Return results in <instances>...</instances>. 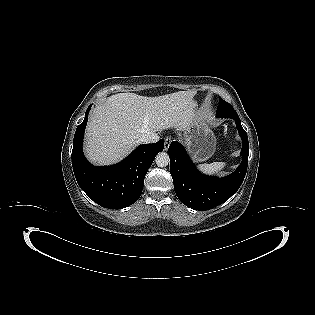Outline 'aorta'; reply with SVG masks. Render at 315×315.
<instances>
[{"instance_id": "1", "label": "aorta", "mask_w": 315, "mask_h": 315, "mask_svg": "<svg viewBox=\"0 0 315 315\" xmlns=\"http://www.w3.org/2000/svg\"><path fill=\"white\" fill-rule=\"evenodd\" d=\"M155 162L158 167H166L169 164V156L166 152H160L156 155Z\"/></svg>"}]
</instances>
